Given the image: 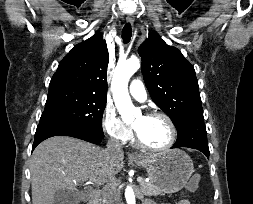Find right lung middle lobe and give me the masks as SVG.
<instances>
[{"instance_id":"1","label":"right lung middle lobe","mask_w":253,"mask_h":204,"mask_svg":"<svg viewBox=\"0 0 253 204\" xmlns=\"http://www.w3.org/2000/svg\"><path fill=\"white\" fill-rule=\"evenodd\" d=\"M106 98L69 86H50L40 123L77 127L104 137Z\"/></svg>"}]
</instances>
